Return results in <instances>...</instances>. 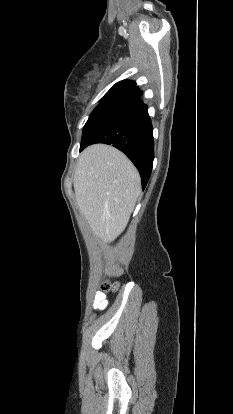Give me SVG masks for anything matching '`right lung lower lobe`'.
Returning a JSON list of instances; mask_svg holds the SVG:
<instances>
[{"label": "right lung lower lobe", "mask_w": 233, "mask_h": 414, "mask_svg": "<svg viewBox=\"0 0 233 414\" xmlns=\"http://www.w3.org/2000/svg\"><path fill=\"white\" fill-rule=\"evenodd\" d=\"M134 85L102 101L86 122L80 151L94 143L112 144L124 152L137 167L144 189L154 159L153 127L148 107Z\"/></svg>", "instance_id": "1"}]
</instances>
